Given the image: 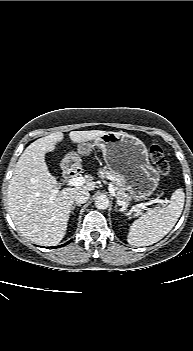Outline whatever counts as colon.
<instances>
[{
	"mask_svg": "<svg viewBox=\"0 0 193 351\" xmlns=\"http://www.w3.org/2000/svg\"><path fill=\"white\" fill-rule=\"evenodd\" d=\"M150 159L162 175H167L169 173V164L160 146L152 145L150 147Z\"/></svg>",
	"mask_w": 193,
	"mask_h": 351,
	"instance_id": "colon-1",
	"label": "colon"
}]
</instances>
